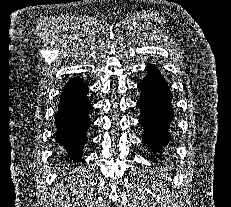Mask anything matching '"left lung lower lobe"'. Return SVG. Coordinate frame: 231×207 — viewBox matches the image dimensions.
Listing matches in <instances>:
<instances>
[{"mask_svg":"<svg viewBox=\"0 0 231 207\" xmlns=\"http://www.w3.org/2000/svg\"><path fill=\"white\" fill-rule=\"evenodd\" d=\"M148 75L138 84L141 98L137 105L141 109L140 124L144 127L143 142L153 152H161L170 138L169 125L173 119L172 94L168 83L154 65L146 68Z\"/></svg>","mask_w":231,"mask_h":207,"instance_id":"0a47b994","label":"left lung lower lobe"}]
</instances>
